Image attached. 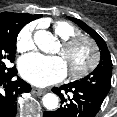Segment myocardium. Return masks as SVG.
Listing matches in <instances>:
<instances>
[{
	"instance_id": "f54148a6",
	"label": "myocardium",
	"mask_w": 117,
	"mask_h": 117,
	"mask_svg": "<svg viewBox=\"0 0 117 117\" xmlns=\"http://www.w3.org/2000/svg\"><path fill=\"white\" fill-rule=\"evenodd\" d=\"M85 44L89 48L90 57L88 62L82 67L75 69L69 68L70 76L74 79H81L87 76L98 65L100 60V53L96 42L86 35H76L62 42V54L64 56L70 55L80 45Z\"/></svg>"
}]
</instances>
